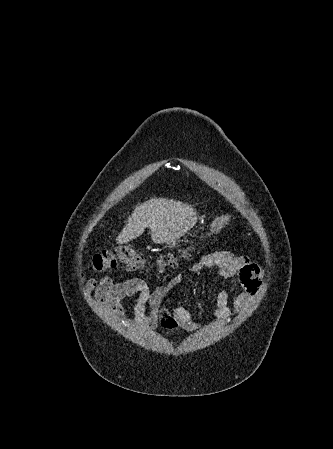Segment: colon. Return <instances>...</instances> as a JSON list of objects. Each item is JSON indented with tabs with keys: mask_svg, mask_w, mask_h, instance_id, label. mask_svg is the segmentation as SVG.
<instances>
[{
	"mask_svg": "<svg viewBox=\"0 0 333 449\" xmlns=\"http://www.w3.org/2000/svg\"><path fill=\"white\" fill-rule=\"evenodd\" d=\"M232 220L231 215H223L215 219L206 235H214L223 230ZM193 244L184 248L179 254L169 253L162 256L159 260L160 265L163 267H174L177 259L186 257L195 247ZM118 264L126 266L129 270H142L146 267L147 261L140 255L133 247L122 245L118 246L114 250L104 251L93 257L91 262V268L94 271L102 272L115 268Z\"/></svg>",
	"mask_w": 333,
	"mask_h": 449,
	"instance_id": "5ec220e1",
	"label": "colon"
}]
</instances>
